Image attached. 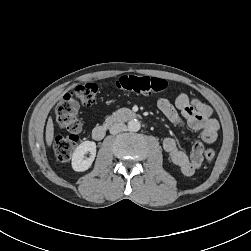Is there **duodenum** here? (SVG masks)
<instances>
[{
    "instance_id": "obj_1",
    "label": "duodenum",
    "mask_w": 251,
    "mask_h": 251,
    "mask_svg": "<svg viewBox=\"0 0 251 251\" xmlns=\"http://www.w3.org/2000/svg\"><path fill=\"white\" fill-rule=\"evenodd\" d=\"M135 118H136V114L134 112H132L131 110L120 109V110L114 112L113 114H111L110 116H108L104 120L103 123L95 126L92 130V137L94 140L100 141L105 137L107 130L111 126H113L117 123L132 120Z\"/></svg>"
}]
</instances>
